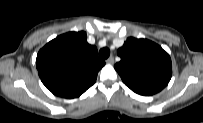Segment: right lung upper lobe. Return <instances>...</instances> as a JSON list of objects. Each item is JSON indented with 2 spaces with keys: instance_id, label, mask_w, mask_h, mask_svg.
Returning a JSON list of instances; mask_svg holds the SVG:
<instances>
[{
  "instance_id": "cb5924a9",
  "label": "right lung upper lobe",
  "mask_w": 203,
  "mask_h": 123,
  "mask_svg": "<svg viewBox=\"0 0 203 123\" xmlns=\"http://www.w3.org/2000/svg\"><path fill=\"white\" fill-rule=\"evenodd\" d=\"M105 65L97 48L87 43L86 33L68 32L48 42L36 58L42 83L53 94L75 98L91 87Z\"/></svg>"
}]
</instances>
